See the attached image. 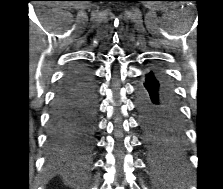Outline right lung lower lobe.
Listing matches in <instances>:
<instances>
[{"mask_svg":"<svg viewBox=\"0 0 223 189\" xmlns=\"http://www.w3.org/2000/svg\"><path fill=\"white\" fill-rule=\"evenodd\" d=\"M97 116L96 83L83 64L72 66L59 84L48 124V146L57 154L83 153L91 144Z\"/></svg>","mask_w":223,"mask_h":189,"instance_id":"obj_1","label":"right lung lower lobe"}]
</instances>
